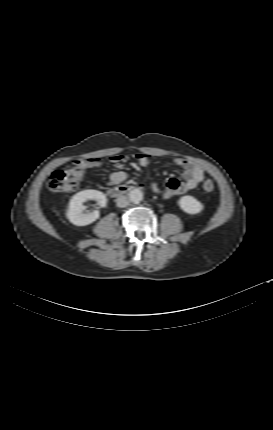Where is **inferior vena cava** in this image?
Returning <instances> with one entry per match:
<instances>
[{
    "label": "inferior vena cava",
    "mask_w": 273,
    "mask_h": 430,
    "mask_svg": "<svg viewBox=\"0 0 273 430\" xmlns=\"http://www.w3.org/2000/svg\"><path fill=\"white\" fill-rule=\"evenodd\" d=\"M117 206L120 208L127 207L129 205L128 198L126 196H120L116 200Z\"/></svg>",
    "instance_id": "602c4592"
}]
</instances>
